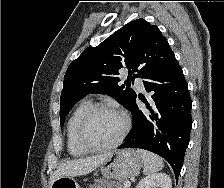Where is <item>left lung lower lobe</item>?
Wrapping results in <instances>:
<instances>
[{"instance_id": "obj_1", "label": "left lung lower lobe", "mask_w": 224, "mask_h": 188, "mask_svg": "<svg viewBox=\"0 0 224 188\" xmlns=\"http://www.w3.org/2000/svg\"><path fill=\"white\" fill-rule=\"evenodd\" d=\"M143 81L147 92L154 94L147 110L133 101L130 111L133 128L119 148H142L165 158L176 180L181 171L192 128L191 99L182 69L175 56Z\"/></svg>"}]
</instances>
